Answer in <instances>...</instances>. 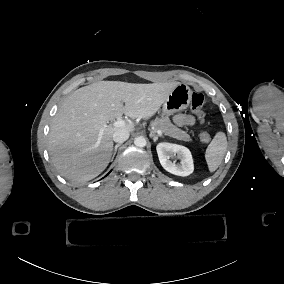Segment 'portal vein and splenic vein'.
<instances>
[{"instance_id": "1", "label": "portal vein and splenic vein", "mask_w": 284, "mask_h": 284, "mask_svg": "<svg viewBox=\"0 0 284 284\" xmlns=\"http://www.w3.org/2000/svg\"><path fill=\"white\" fill-rule=\"evenodd\" d=\"M124 125V121L123 120H116L113 123L109 124V125H102L100 131H99V135L102 136L104 131L106 130L107 127H122ZM159 135H163L162 131H158Z\"/></svg>"}]
</instances>
